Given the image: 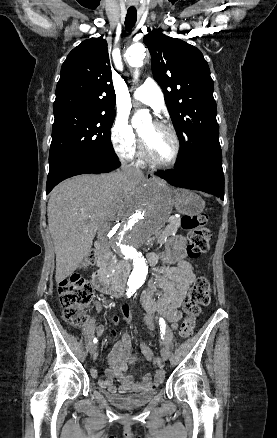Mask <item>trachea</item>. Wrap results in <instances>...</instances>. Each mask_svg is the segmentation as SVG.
<instances>
[{
  "instance_id": "3493384b",
  "label": "trachea",
  "mask_w": 277,
  "mask_h": 438,
  "mask_svg": "<svg viewBox=\"0 0 277 438\" xmlns=\"http://www.w3.org/2000/svg\"><path fill=\"white\" fill-rule=\"evenodd\" d=\"M137 19V11L135 7H130L127 10L126 18H125V29L126 31H131L135 26Z\"/></svg>"
}]
</instances>
